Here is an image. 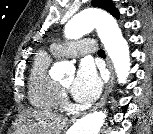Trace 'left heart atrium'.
<instances>
[{
  "label": "left heart atrium",
  "mask_w": 153,
  "mask_h": 134,
  "mask_svg": "<svg viewBox=\"0 0 153 134\" xmlns=\"http://www.w3.org/2000/svg\"><path fill=\"white\" fill-rule=\"evenodd\" d=\"M102 79L95 68L89 63H82L71 85L74 98L82 103L94 101L102 89Z\"/></svg>",
  "instance_id": "1"
}]
</instances>
